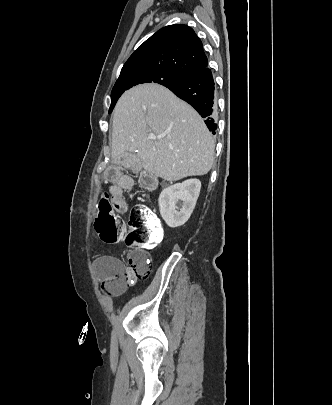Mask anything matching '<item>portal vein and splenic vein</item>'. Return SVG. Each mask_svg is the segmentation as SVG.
I'll return each mask as SVG.
<instances>
[{"label":"portal vein and splenic vein","instance_id":"1","mask_svg":"<svg viewBox=\"0 0 332 405\" xmlns=\"http://www.w3.org/2000/svg\"><path fill=\"white\" fill-rule=\"evenodd\" d=\"M149 138H150L151 140H156V139H157V137H156L155 135H153V134H151V135L149 136Z\"/></svg>","mask_w":332,"mask_h":405}]
</instances>
